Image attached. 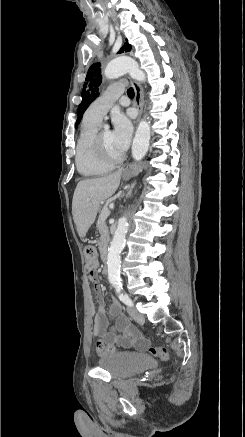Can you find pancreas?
<instances>
[{"label":"pancreas","mask_w":245,"mask_h":437,"mask_svg":"<svg viewBox=\"0 0 245 437\" xmlns=\"http://www.w3.org/2000/svg\"><path fill=\"white\" fill-rule=\"evenodd\" d=\"M106 208V207H104ZM104 208L101 211V214L99 215L98 221H97V227H98V231L100 233V238L98 241V245H99V249L105 248L108 245L109 242V230L108 227L105 223V219L102 215V212L104 210Z\"/></svg>","instance_id":"cf45deb5"}]
</instances>
